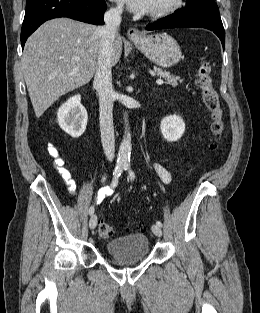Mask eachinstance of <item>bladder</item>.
<instances>
[{"label": "bladder", "instance_id": "31cf9c89", "mask_svg": "<svg viewBox=\"0 0 260 313\" xmlns=\"http://www.w3.org/2000/svg\"><path fill=\"white\" fill-rule=\"evenodd\" d=\"M108 256L120 265L140 263L149 255V240L145 234L137 233L109 241L105 246Z\"/></svg>", "mask_w": 260, "mask_h": 313}]
</instances>
